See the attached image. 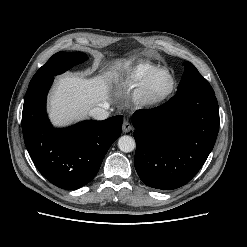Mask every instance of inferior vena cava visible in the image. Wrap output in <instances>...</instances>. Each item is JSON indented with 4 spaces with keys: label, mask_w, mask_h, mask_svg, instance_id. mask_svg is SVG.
<instances>
[{
    "label": "inferior vena cava",
    "mask_w": 247,
    "mask_h": 247,
    "mask_svg": "<svg viewBox=\"0 0 247 247\" xmlns=\"http://www.w3.org/2000/svg\"><path fill=\"white\" fill-rule=\"evenodd\" d=\"M108 108V104H102L100 107H94L91 109L90 115L96 120H104L109 116V112L106 110Z\"/></svg>",
    "instance_id": "602c4592"
}]
</instances>
